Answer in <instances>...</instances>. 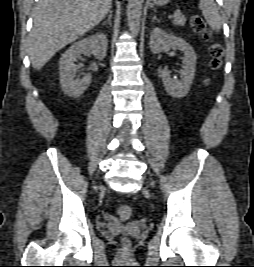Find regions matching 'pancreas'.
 I'll use <instances>...</instances> for the list:
<instances>
[{
    "instance_id": "obj_1",
    "label": "pancreas",
    "mask_w": 254,
    "mask_h": 267,
    "mask_svg": "<svg viewBox=\"0 0 254 267\" xmlns=\"http://www.w3.org/2000/svg\"><path fill=\"white\" fill-rule=\"evenodd\" d=\"M186 22V18L183 15H179L178 17H175L173 20V24L177 26H184Z\"/></svg>"
}]
</instances>
